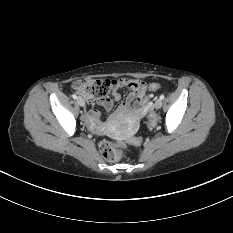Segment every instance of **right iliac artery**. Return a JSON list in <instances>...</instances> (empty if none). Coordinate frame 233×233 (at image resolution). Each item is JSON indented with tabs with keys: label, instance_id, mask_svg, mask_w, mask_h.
<instances>
[{
	"label": "right iliac artery",
	"instance_id": "1",
	"mask_svg": "<svg viewBox=\"0 0 233 233\" xmlns=\"http://www.w3.org/2000/svg\"><path fill=\"white\" fill-rule=\"evenodd\" d=\"M72 97H73L74 99H77V96H76L75 94H73Z\"/></svg>",
	"mask_w": 233,
	"mask_h": 233
}]
</instances>
